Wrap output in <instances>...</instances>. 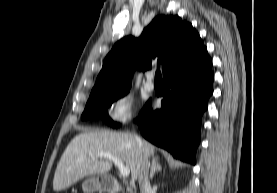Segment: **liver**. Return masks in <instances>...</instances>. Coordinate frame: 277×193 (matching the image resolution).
<instances>
[{"instance_id": "obj_1", "label": "liver", "mask_w": 277, "mask_h": 193, "mask_svg": "<svg viewBox=\"0 0 277 193\" xmlns=\"http://www.w3.org/2000/svg\"><path fill=\"white\" fill-rule=\"evenodd\" d=\"M106 152L120 159L136 180L144 164L155 154V146L147 141L139 143L129 133L93 130L77 135L67 146L57 165L53 190L62 191L86 176L106 175L112 168L111 160L93 158Z\"/></svg>"}]
</instances>
